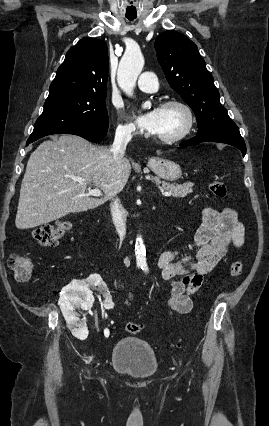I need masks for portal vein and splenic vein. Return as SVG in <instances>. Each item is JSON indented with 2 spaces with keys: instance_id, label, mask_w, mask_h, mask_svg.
Here are the masks:
<instances>
[{
  "instance_id": "obj_1",
  "label": "portal vein and splenic vein",
  "mask_w": 269,
  "mask_h": 426,
  "mask_svg": "<svg viewBox=\"0 0 269 426\" xmlns=\"http://www.w3.org/2000/svg\"><path fill=\"white\" fill-rule=\"evenodd\" d=\"M74 180H76L78 182H84L85 181L84 179H80V178H74ZM88 195L99 197V196L102 195V193L98 188H94L92 190H89ZM171 195H172V193L169 192V191L164 193V196H166V197H170Z\"/></svg>"
}]
</instances>
